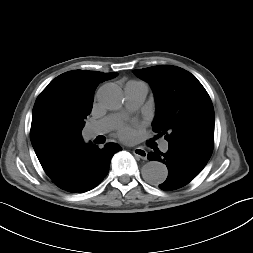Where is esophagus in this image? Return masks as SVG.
<instances>
[{
	"label": "esophagus",
	"instance_id": "34e87169",
	"mask_svg": "<svg viewBox=\"0 0 253 253\" xmlns=\"http://www.w3.org/2000/svg\"><path fill=\"white\" fill-rule=\"evenodd\" d=\"M133 154L143 160L147 159V151L142 147H136L133 149Z\"/></svg>",
	"mask_w": 253,
	"mask_h": 253
}]
</instances>
